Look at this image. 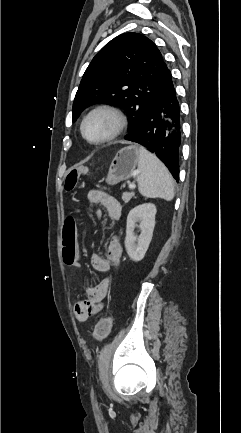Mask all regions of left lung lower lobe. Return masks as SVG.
I'll use <instances>...</instances> for the list:
<instances>
[{
    "label": "left lung lower lobe",
    "instance_id": "left-lung-lower-lobe-1",
    "mask_svg": "<svg viewBox=\"0 0 241 433\" xmlns=\"http://www.w3.org/2000/svg\"><path fill=\"white\" fill-rule=\"evenodd\" d=\"M125 140L148 148L178 180L181 115L170 71L163 90L147 109L137 127L125 137Z\"/></svg>",
    "mask_w": 241,
    "mask_h": 433
}]
</instances>
